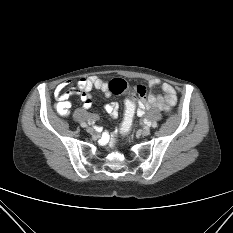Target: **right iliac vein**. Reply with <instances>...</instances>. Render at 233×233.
I'll list each match as a JSON object with an SVG mask.
<instances>
[{
	"label": "right iliac vein",
	"mask_w": 233,
	"mask_h": 233,
	"mask_svg": "<svg viewBox=\"0 0 233 233\" xmlns=\"http://www.w3.org/2000/svg\"><path fill=\"white\" fill-rule=\"evenodd\" d=\"M86 131L90 134H94L95 133V130L92 128V127H87L86 128Z\"/></svg>",
	"instance_id": "obj_1"
}]
</instances>
